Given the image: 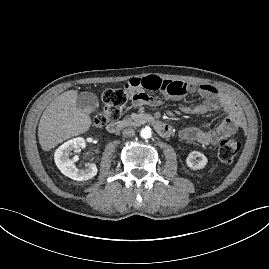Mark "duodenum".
Instances as JSON below:
<instances>
[{
  "label": "duodenum",
  "mask_w": 269,
  "mask_h": 269,
  "mask_svg": "<svg viewBox=\"0 0 269 269\" xmlns=\"http://www.w3.org/2000/svg\"><path fill=\"white\" fill-rule=\"evenodd\" d=\"M144 121L150 125H152L155 130L163 137H168L172 134V127L164 122L158 121L153 117H146ZM130 123L128 121H115L111 122L107 125V130L110 133H117L124 127L128 126Z\"/></svg>",
  "instance_id": "410a0bca"
}]
</instances>
